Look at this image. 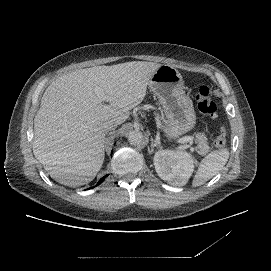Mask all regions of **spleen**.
<instances>
[{
	"instance_id": "obj_1",
	"label": "spleen",
	"mask_w": 271,
	"mask_h": 271,
	"mask_svg": "<svg viewBox=\"0 0 271 271\" xmlns=\"http://www.w3.org/2000/svg\"><path fill=\"white\" fill-rule=\"evenodd\" d=\"M230 156L228 149L213 150L201 159L198 163L194 177L192 179V186L197 187L203 185L214 177L226 165Z\"/></svg>"
}]
</instances>
